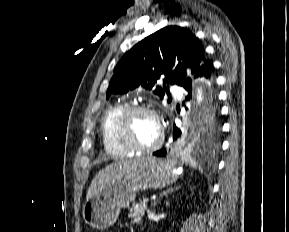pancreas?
<instances>
[{
	"instance_id": "obj_1",
	"label": "pancreas",
	"mask_w": 289,
	"mask_h": 232,
	"mask_svg": "<svg viewBox=\"0 0 289 232\" xmlns=\"http://www.w3.org/2000/svg\"><path fill=\"white\" fill-rule=\"evenodd\" d=\"M147 206L144 202L133 203L129 212V217L133 219V223H141Z\"/></svg>"
}]
</instances>
